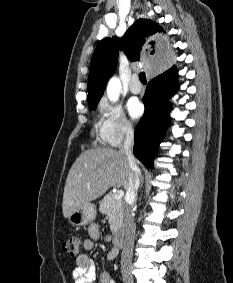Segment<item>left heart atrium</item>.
Segmentation results:
<instances>
[{
	"mask_svg": "<svg viewBox=\"0 0 233 283\" xmlns=\"http://www.w3.org/2000/svg\"><path fill=\"white\" fill-rule=\"evenodd\" d=\"M127 110L133 119H138L143 114L144 108L137 99H131L127 104Z\"/></svg>",
	"mask_w": 233,
	"mask_h": 283,
	"instance_id": "1",
	"label": "left heart atrium"
}]
</instances>
